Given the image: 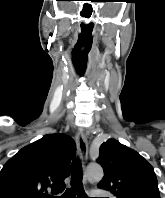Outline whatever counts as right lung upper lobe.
<instances>
[{
    "label": "right lung upper lobe",
    "mask_w": 165,
    "mask_h": 198,
    "mask_svg": "<svg viewBox=\"0 0 165 198\" xmlns=\"http://www.w3.org/2000/svg\"><path fill=\"white\" fill-rule=\"evenodd\" d=\"M74 154V141L65 134H48L22 148L0 172V198H47V190L62 192Z\"/></svg>",
    "instance_id": "1"
}]
</instances>
